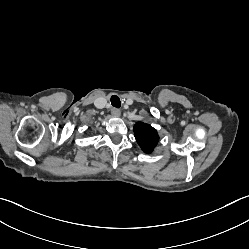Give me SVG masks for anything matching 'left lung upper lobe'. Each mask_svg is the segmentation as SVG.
<instances>
[{
  "instance_id": "1",
  "label": "left lung upper lobe",
  "mask_w": 249,
  "mask_h": 249,
  "mask_svg": "<svg viewBox=\"0 0 249 249\" xmlns=\"http://www.w3.org/2000/svg\"><path fill=\"white\" fill-rule=\"evenodd\" d=\"M134 134L136 141L145 153H151L159 141L157 131L151 125L143 122L135 124Z\"/></svg>"
}]
</instances>
